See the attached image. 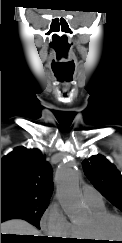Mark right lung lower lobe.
Masks as SVG:
<instances>
[{"mask_svg":"<svg viewBox=\"0 0 122 243\" xmlns=\"http://www.w3.org/2000/svg\"><path fill=\"white\" fill-rule=\"evenodd\" d=\"M12 218L24 219V220L28 221L29 223L33 224L32 221L28 217L23 216V215H15V214H1V223L6 220L12 219ZM40 241L42 243H52V240L49 239L48 237L43 238Z\"/></svg>","mask_w":122,"mask_h":243,"instance_id":"1","label":"right lung lower lobe"}]
</instances>
